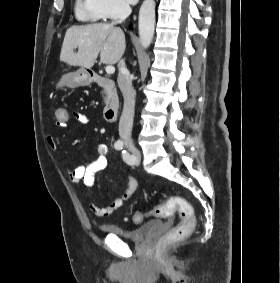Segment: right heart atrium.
Returning <instances> with one entry per match:
<instances>
[{"label": "right heart atrium", "instance_id": "1", "mask_svg": "<svg viewBox=\"0 0 280 283\" xmlns=\"http://www.w3.org/2000/svg\"><path fill=\"white\" fill-rule=\"evenodd\" d=\"M93 15L102 20H113L126 16L130 7L126 0H89Z\"/></svg>", "mask_w": 280, "mask_h": 283}]
</instances>
